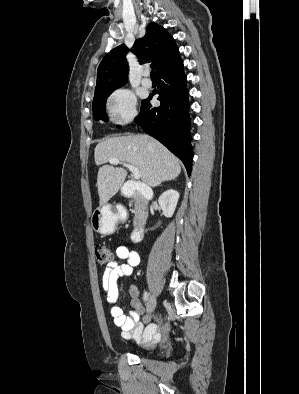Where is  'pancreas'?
I'll use <instances>...</instances> for the list:
<instances>
[{"instance_id":"obj_1","label":"pancreas","mask_w":299,"mask_h":394,"mask_svg":"<svg viewBox=\"0 0 299 394\" xmlns=\"http://www.w3.org/2000/svg\"><path fill=\"white\" fill-rule=\"evenodd\" d=\"M144 212L143 206L139 203L138 199L135 198V204H134V222H136L137 218L139 215H141Z\"/></svg>"}]
</instances>
